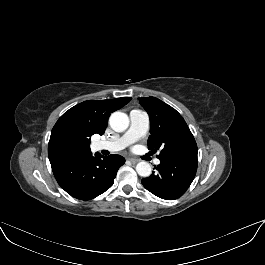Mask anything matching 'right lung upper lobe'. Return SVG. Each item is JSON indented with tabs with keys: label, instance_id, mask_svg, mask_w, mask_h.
Wrapping results in <instances>:
<instances>
[{
	"label": "right lung upper lobe",
	"instance_id": "1",
	"mask_svg": "<svg viewBox=\"0 0 265 265\" xmlns=\"http://www.w3.org/2000/svg\"><path fill=\"white\" fill-rule=\"evenodd\" d=\"M131 97L84 101L66 111L54 125L48 156L52 169L91 154L90 137L104 134L110 114Z\"/></svg>",
	"mask_w": 265,
	"mask_h": 265
}]
</instances>
